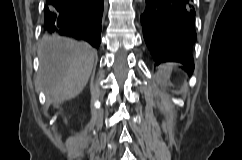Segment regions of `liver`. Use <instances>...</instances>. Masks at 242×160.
<instances>
[{"instance_id":"liver-1","label":"liver","mask_w":242,"mask_h":160,"mask_svg":"<svg viewBox=\"0 0 242 160\" xmlns=\"http://www.w3.org/2000/svg\"><path fill=\"white\" fill-rule=\"evenodd\" d=\"M38 53V83L56 102L72 99L83 91L97 57L88 43L61 37L44 39Z\"/></svg>"}]
</instances>
